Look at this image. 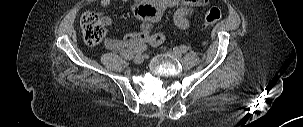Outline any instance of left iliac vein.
I'll list each match as a JSON object with an SVG mask.
<instances>
[{"label":"left iliac vein","instance_id":"1","mask_svg":"<svg viewBox=\"0 0 303 127\" xmlns=\"http://www.w3.org/2000/svg\"><path fill=\"white\" fill-rule=\"evenodd\" d=\"M168 54L171 55L172 57L176 58V59H180L181 56H182V53L178 49H174L172 51H169Z\"/></svg>","mask_w":303,"mask_h":127}]
</instances>
